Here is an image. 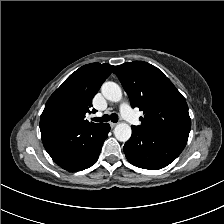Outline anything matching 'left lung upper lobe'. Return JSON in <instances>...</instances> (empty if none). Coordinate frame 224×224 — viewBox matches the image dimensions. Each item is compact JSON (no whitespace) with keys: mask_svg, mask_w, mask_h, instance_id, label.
I'll list each match as a JSON object with an SVG mask.
<instances>
[{"mask_svg":"<svg viewBox=\"0 0 224 224\" xmlns=\"http://www.w3.org/2000/svg\"><path fill=\"white\" fill-rule=\"evenodd\" d=\"M132 107L143 111L140 129L187 141L191 120L185 98L161 70L144 61L115 67Z\"/></svg>","mask_w":224,"mask_h":224,"instance_id":"obj_1","label":"left lung upper lobe"}]
</instances>
